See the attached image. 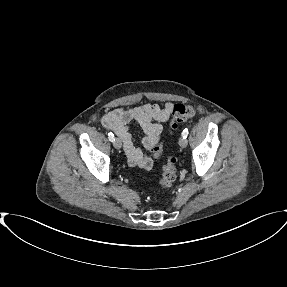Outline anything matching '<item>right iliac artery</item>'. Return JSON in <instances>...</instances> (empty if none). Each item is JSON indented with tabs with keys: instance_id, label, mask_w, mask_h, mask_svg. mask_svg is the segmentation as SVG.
Returning <instances> with one entry per match:
<instances>
[{
	"instance_id": "obj_1",
	"label": "right iliac artery",
	"mask_w": 287,
	"mask_h": 287,
	"mask_svg": "<svg viewBox=\"0 0 287 287\" xmlns=\"http://www.w3.org/2000/svg\"><path fill=\"white\" fill-rule=\"evenodd\" d=\"M108 138H109V140L111 141V142H113L114 140H115V138H114V134L113 133H108Z\"/></svg>"
}]
</instances>
